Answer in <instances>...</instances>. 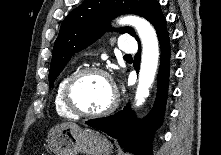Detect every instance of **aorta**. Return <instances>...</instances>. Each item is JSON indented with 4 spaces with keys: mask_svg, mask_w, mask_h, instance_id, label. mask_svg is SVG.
Here are the masks:
<instances>
[{
    "mask_svg": "<svg viewBox=\"0 0 221 155\" xmlns=\"http://www.w3.org/2000/svg\"><path fill=\"white\" fill-rule=\"evenodd\" d=\"M118 23L134 27L142 42L141 65L135 95L136 103L139 105L149 96L158 67L159 44L156 31L147 20L138 16H126L119 19Z\"/></svg>",
    "mask_w": 221,
    "mask_h": 155,
    "instance_id": "762f6f07",
    "label": "aorta"
}]
</instances>
